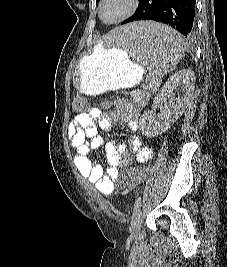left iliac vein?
<instances>
[{
    "instance_id": "1",
    "label": "left iliac vein",
    "mask_w": 227,
    "mask_h": 267,
    "mask_svg": "<svg viewBox=\"0 0 227 267\" xmlns=\"http://www.w3.org/2000/svg\"><path fill=\"white\" fill-rule=\"evenodd\" d=\"M143 216V209L139 207L133 214L130 232L133 237H136L140 233L141 221Z\"/></svg>"
}]
</instances>
